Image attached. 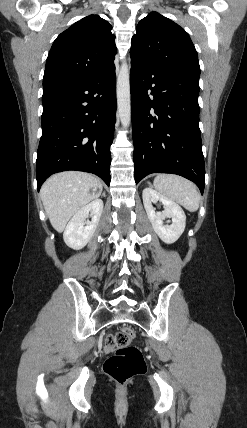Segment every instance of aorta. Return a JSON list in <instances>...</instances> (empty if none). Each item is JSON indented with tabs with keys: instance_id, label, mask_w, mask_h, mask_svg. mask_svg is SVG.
Returning a JSON list of instances; mask_svg holds the SVG:
<instances>
[{
	"instance_id": "obj_1",
	"label": "aorta",
	"mask_w": 247,
	"mask_h": 428,
	"mask_svg": "<svg viewBox=\"0 0 247 428\" xmlns=\"http://www.w3.org/2000/svg\"><path fill=\"white\" fill-rule=\"evenodd\" d=\"M117 105L120 121L124 127L131 121L130 68L124 62L117 77Z\"/></svg>"
}]
</instances>
